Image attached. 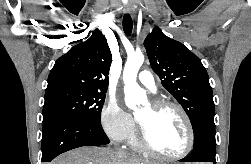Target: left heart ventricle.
I'll return each mask as SVG.
<instances>
[{"label":"left heart ventricle","mask_w":251,"mask_h":164,"mask_svg":"<svg viewBox=\"0 0 251 164\" xmlns=\"http://www.w3.org/2000/svg\"><path fill=\"white\" fill-rule=\"evenodd\" d=\"M137 119L145 128L150 143L160 152L177 155L186 148L187 129L176 110H156L147 105L138 113Z\"/></svg>","instance_id":"obj_1"}]
</instances>
